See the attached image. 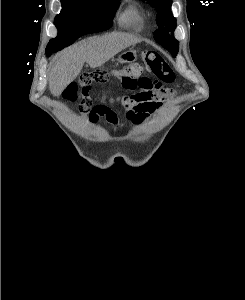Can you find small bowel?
Here are the masks:
<instances>
[{
  "label": "small bowel",
  "mask_w": 245,
  "mask_h": 300,
  "mask_svg": "<svg viewBox=\"0 0 245 300\" xmlns=\"http://www.w3.org/2000/svg\"><path fill=\"white\" fill-rule=\"evenodd\" d=\"M129 91H131L130 95L117 99H104L97 104H93L90 98L85 96L80 108L89 125L94 126L99 118L104 117L115 128H121L117 113L107 103L119 102L126 112V118L136 126L147 121L163 104L162 99L155 96L152 81L149 78L142 77L136 83V87Z\"/></svg>",
  "instance_id": "1"
}]
</instances>
